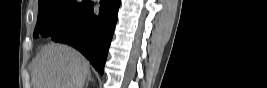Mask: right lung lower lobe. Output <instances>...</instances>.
Returning a JSON list of instances; mask_svg holds the SVG:
<instances>
[{"mask_svg":"<svg viewBox=\"0 0 267 88\" xmlns=\"http://www.w3.org/2000/svg\"><path fill=\"white\" fill-rule=\"evenodd\" d=\"M93 4L92 2L74 24L54 34L51 39L79 50L93 67L103 74L118 18L120 0H101L98 16L93 12Z\"/></svg>","mask_w":267,"mask_h":88,"instance_id":"obj_1","label":"right lung lower lobe"}]
</instances>
